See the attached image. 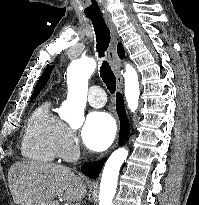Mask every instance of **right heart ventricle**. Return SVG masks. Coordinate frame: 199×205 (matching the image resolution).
Returning a JSON list of instances; mask_svg holds the SVG:
<instances>
[{
    "label": "right heart ventricle",
    "instance_id": "obj_1",
    "mask_svg": "<svg viewBox=\"0 0 199 205\" xmlns=\"http://www.w3.org/2000/svg\"><path fill=\"white\" fill-rule=\"evenodd\" d=\"M64 123L45 102L31 114L22 138V154L31 160L49 163L59 156L60 135Z\"/></svg>",
    "mask_w": 199,
    "mask_h": 205
}]
</instances>
